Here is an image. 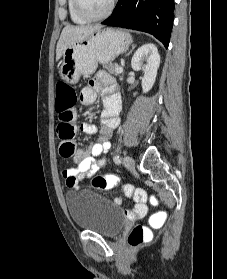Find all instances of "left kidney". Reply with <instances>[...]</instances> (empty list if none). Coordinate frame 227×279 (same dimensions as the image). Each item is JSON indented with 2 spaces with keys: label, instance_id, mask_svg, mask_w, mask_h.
I'll use <instances>...</instances> for the list:
<instances>
[{
  "label": "left kidney",
  "instance_id": "obj_1",
  "mask_svg": "<svg viewBox=\"0 0 227 279\" xmlns=\"http://www.w3.org/2000/svg\"><path fill=\"white\" fill-rule=\"evenodd\" d=\"M146 61L144 65L143 62ZM160 65V55L157 47L152 44H144L137 49L131 60V67L135 71H144V77L142 78V89L146 93L153 87L157 70ZM137 93H134V96Z\"/></svg>",
  "mask_w": 227,
  "mask_h": 279
}]
</instances>
